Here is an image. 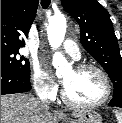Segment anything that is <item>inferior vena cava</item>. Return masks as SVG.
Masks as SVG:
<instances>
[{
  "instance_id": "inferior-vena-cava-1",
  "label": "inferior vena cava",
  "mask_w": 122,
  "mask_h": 123,
  "mask_svg": "<svg viewBox=\"0 0 122 123\" xmlns=\"http://www.w3.org/2000/svg\"><path fill=\"white\" fill-rule=\"evenodd\" d=\"M38 102L40 103L41 107L48 108L49 107V100L47 99H38Z\"/></svg>"
}]
</instances>
